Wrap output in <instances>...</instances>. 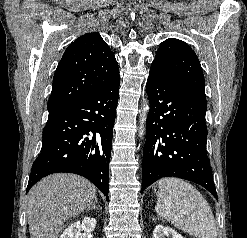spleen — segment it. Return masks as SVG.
<instances>
[{
	"mask_svg": "<svg viewBox=\"0 0 247 238\" xmlns=\"http://www.w3.org/2000/svg\"><path fill=\"white\" fill-rule=\"evenodd\" d=\"M156 213L178 229L196 238H216L217 230L211 208L190 183L173 177L160 179Z\"/></svg>",
	"mask_w": 247,
	"mask_h": 238,
	"instance_id": "3e777b00",
	"label": "spleen"
}]
</instances>
